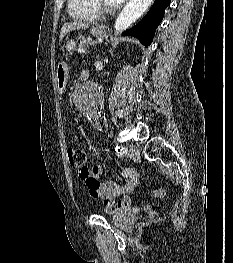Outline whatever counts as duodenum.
Listing matches in <instances>:
<instances>
[{
  "instance_id": "obj_1",
  "label": "duodenum",
  "mask_w": 233,
  "mask_h": 263,
  "mask_svg": "<svg viewBox=\"0 0 233 263\" xmlns=\"http://www.w3.org/2000/svg\"><path fill=\"white\" fill-rule=\"evenodd\" d=\"M80 78L83 81L88 80L89 79V72L86 71V70L82 71L81 74H80Z\"/></svg>"
}]
</instances>
